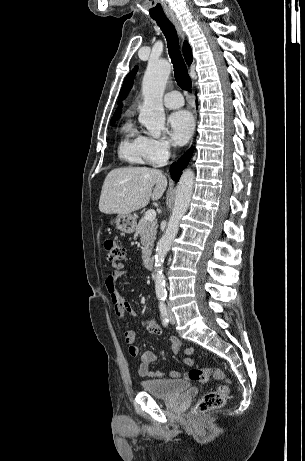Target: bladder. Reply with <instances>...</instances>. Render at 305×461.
I'll list each match as a JSON object with an SVG mask.
<instances>
[{
	"instance_id": "bladder-1",
	"label": "bladder",
	"mask_w": 305,
	"mask_h": 461,
	"mask_svg": "<svg viewBox=\"0 0 305 461\" xmlns=\"http://www.w3.org/2000/svg\"><path fill=\"white\" fill-rule=\"evenodd\" d=\"M140 385L144 392L164 399L175 398L190 388L188 381L178 379H141Z\"/></svg>"
}]
</instances>
